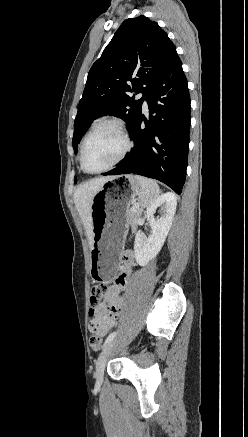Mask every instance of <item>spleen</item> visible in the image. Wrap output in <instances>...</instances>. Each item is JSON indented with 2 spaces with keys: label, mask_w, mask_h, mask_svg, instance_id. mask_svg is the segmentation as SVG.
<instances>
[{
  "label": "spleen",
  "mask_w": 248,
  "mask_h": 437,
  "mask_svg": "<svg viewBox=\"0 0 248 437\" xmlns=\"http://www.w3.org/2000/svg\"><path fill=\"white\" fill-rule=\"evenodd\" d=\"M135 179L141 187L140 204L147 207L158 198L159 186L156 181L143 176L136 175Z\"/></svg>",
  "instance_id": "obj_1"
}]
</instances>
